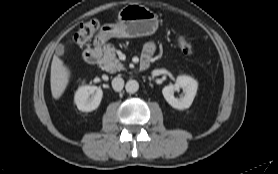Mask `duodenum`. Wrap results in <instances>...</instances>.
<instances>
[{
    "mask_svg": "<svg viewBox=\"0 0 278 174\" xmlns=\"http://www.w3.org/2000/svg\"><path fill=\"white\" fill-rule=\"evenodd\" d=\"M102 44H103V40L101 38H97L95 40L94 46L92 48L85 50L84 60L88 64H95L98 62L100 54H101ZM149 64H150L149 59L144 58L140 62V69H142V70L147 69Z\"/></svg>",
    "mask_w": 278,
    "mask_h": 174,
    "instance_id": "obj_1",
    "label": "duodenum"
}]
</instances>
